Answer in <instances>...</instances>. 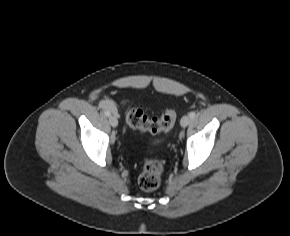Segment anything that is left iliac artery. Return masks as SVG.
Returning <instances> with one entry per match:
<instances>
[{
  "instance_id": "44dca946",
  "label": "left iliac artery",
  "mask_w": 290,
  "mask_h": 236,
  "mask_svg": "<svg viewBox=\"0 0 290 236\" xmlns=\"http://www.w3.org/2000/svg\"><path fill=\"white\" fill-rule=\"evenodd\" d=\"M190 118H194L196 116V113L194 111L189 113Z\"/></svg>"
}]
</instances>
